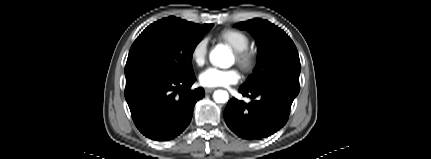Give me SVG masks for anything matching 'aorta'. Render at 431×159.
<instances>
[{
    "label": "aorta",
    "mask_w": 431,
    "mask_h": 159,
    "mask_svg": "<svg viewBox=\"0 0 431 159\" xmlns=\"http://www.w3.org/2000/svg\"><path fill=\"white\" fill-rule=\"evenodd\" d=\"M230 51L224 46H217L210 52V62L218 67L224 68L228 66V59L230 57ZM213 98L216 103H226L229 99L227 91L217 90L213 94Z\"/></svg>",
    "instance_id": "1"
}]
</instances>
